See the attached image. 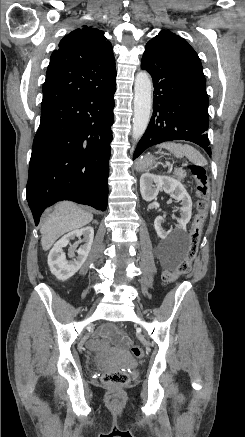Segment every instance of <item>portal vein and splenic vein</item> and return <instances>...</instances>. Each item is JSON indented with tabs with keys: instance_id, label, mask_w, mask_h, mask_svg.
Here are the masks:
<instances>
[{
	"instance_id": "18ae733b",
	"label": "portal vein and splenic vein",
	"mask_w": 245,
	"mask_h": 437,
	"mask_svg": "<svg viewBox=\"0 0 245 437\" xmlns=\"http://www.w3.org/2000/svg\"><path fill=\"white\" fill-rule=\"evenodd\" d=\"M168 167H169L170 169H172V164H169V163H168Z\"/></svg>"
}]
</instances>
